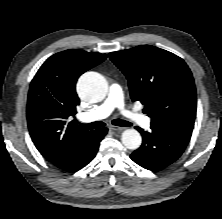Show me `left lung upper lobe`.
I'll list each match as a JSON object with an SVG mask.
<instances>
[{"instance_id":"left-lung-upper-lobe-1","label":"left lung upper lobe","mask_w":222,"mask_h":219,"mask_svg":"<svg viewBox=\"0 0 222 219\" xmlns=\"http://www.w3.org/2000/svg\"><path fill=\"white\" fill-rule=\"evenodd\" d=\"M129 82L132 101L145 105L151 126L190 140L196 116V89L183 59L151 45L111 52Z\"/></svg>"}]
</instances>
